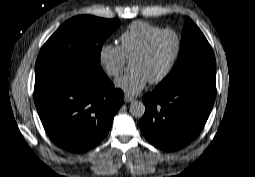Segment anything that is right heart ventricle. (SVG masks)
Here are the masks:
<instances>
[{"label":"right heart ventricle","instance_id":"e07e8e85","mask_svg":"<svg viewBox=\"0 0 255 177\" xmlns=\"http://www.w3.org/2000/svg\"><path fill=\"white\" fill-rule=\"evenodd\" d=\"M161 27L144 21H135L120 35V47L126 60L133 57L142 49L146 41Z\"/></svg>","mask_w":255,"mask_h":177}]
</instances>
